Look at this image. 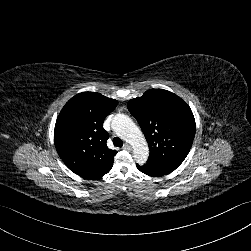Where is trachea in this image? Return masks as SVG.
Segmentation results:
<instances>
[{
  "instance_id": "obj_1",
  "label": "trachea",
  "mask_w": 251,
  "mask_h": 251,
  "mask_svg": "<svg viewBox=\"0 0 251 251\" xmlns=\"http://www.w3.org/2000/svg\"><path fill=\"white\" fill-rule=\"evenodd\" d=\"M113 144L121 148L123 146V141L119 137H114Z\"/></svg>"
}]
</instances>
